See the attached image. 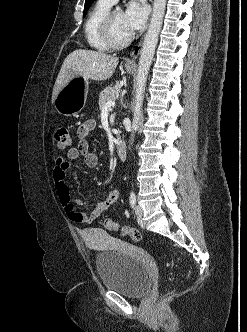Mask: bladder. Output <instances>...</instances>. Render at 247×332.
Listing matches in <instances>:
<instances>
[{
    "instance_id": "obj_1",
    "label": "bladder",
    "mask_w": 247,
    "mask_h": 332,
    "mask_svg": "<svg viewBox=\"0 0 247 332\" xmlns=\"http://www.w3.org/2000/svg\"><path fill=\"white\" fill-rule=\"evenodd\" d=\"M90 245L89 236H85ZM153 258L147 252L117 244L108 251L100 252L95 259L102 285L126 297L140 298L153 283Z\"/></svg>"
}]
</instances>
